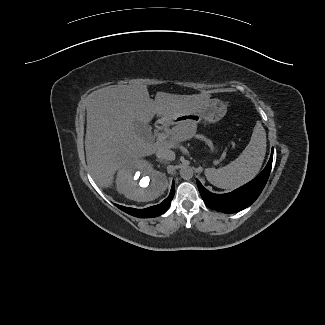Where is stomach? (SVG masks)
Segmentation results:
<instances>
[{
	"mask_svg": "<svg viewBox=\"0 0 325 325\" xmlns=\"http://www.w3.org/2000/svg\"><path fill=\"white\" fill-rule=\"evenodd\" d=\"M227 112V105L219 99H210L193 109L190 113L178 116L169 121H176L179 124H197L202 119L209 123H216L221 120Z\"/></svg>",
	"mask_w": 325,
	"mask_h": 325,
	"instance_id": "1",
	"label": "stomach"
}]
</instances>
